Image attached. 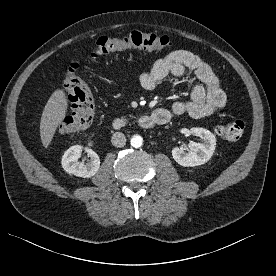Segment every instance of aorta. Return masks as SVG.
I'll list each match as a JSON object with an SVG mask.
<instances>
[{
    "mask_svg": "<svg viewBox=\"0 0 276 276\" xmlns=\"http://www.w3.org/2000/svg\"><path fill=\"white\" fill-rule=\"evenodd\" d=\"M130 144L134 148H140L143 144V138L139 135H135L131 138Z\"/></svg>",
    "mask_w": 276,
    "mask_h": 276,
    "instance_id": "1",
    "label": "aorta"
}]
</instances>
